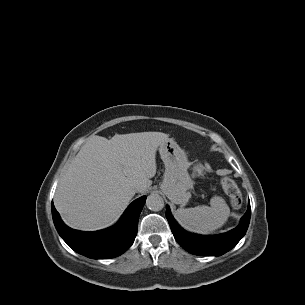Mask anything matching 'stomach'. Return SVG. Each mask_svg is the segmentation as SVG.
I'll return each mask as SVG.
<instances>
[{
  "mask_svg": "<svg viewBox=\"0 0 305 305\" xmlns=\"http://www.w3.org/2000/svg\"><path fill=\"white\" fill-rule=\"evenodd\" d=\"M159 153L165 164L163 193L176 204H185L190 197L193 181L188 174V158L183 149L172 139L159 146Z\"/></svg>",
  "mask_w": 305,
  "mask_h": 305,
  "instance_id": "obj_1",
  "label": "stomach"
}]
</instances>
